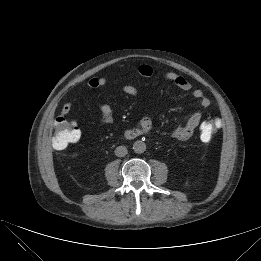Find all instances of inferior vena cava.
<instances>
[{"instance_id":"602c4592","label":"inferior vena cava","mask_w":261,"mask_h":261,"mask_svg":"<svg viewBox=\"0 0 261 261\" xmlns=\"http://www.w3.org/2000/svg\"><path fill=\"white\" fill-rule=\"evenodd\" d=\"M128 150L125 146H118L115 149V155L117 157H124L127 154Z\"/></svg>"}]
</instances>
